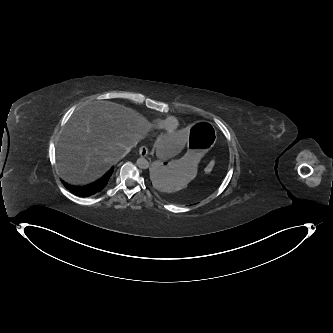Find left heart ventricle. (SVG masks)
Segmentation results:
<instances>
[{
    "label": "left heart ventricle",
    "instance_id": "obj_1",
    "mask_svg": "<svg viewBox=\"0 0 333 333\" xmlns=\"http://www.w3.org/2000/svg\"><path fill=\"white\" fill-rule=\"evenodd\" d=\"M174 127H175V122H174V121H171V122L169 123V128L172 129V128H174Z\"/></svg>",
    "mask_w": 333,
    "mask_h": 333
}]
</instances>
